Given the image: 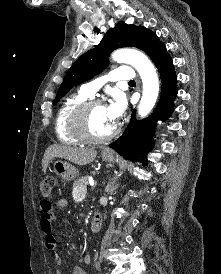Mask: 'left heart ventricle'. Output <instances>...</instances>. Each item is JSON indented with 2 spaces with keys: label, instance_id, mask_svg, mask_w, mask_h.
I'll list each match as a JSON object with an SVG mask.
<instances>
[{
  "label": "left heart ventricle",
  "instance_id": "b2bd125f",
  "mask_svg": "<svg viewBox=\"0 0 221 274\" xmlns=\"http://www.w3.org/2000/svg\"><path fill=\"white\" fill-rule=\"evenodd\" d=\"M89 130L95 136H104L114 127L107 113V106L101 105L93 108L88 120Z\"/></svg>",
  "mask_w": 221,
  "mask_h": 274
}]
</instances>
